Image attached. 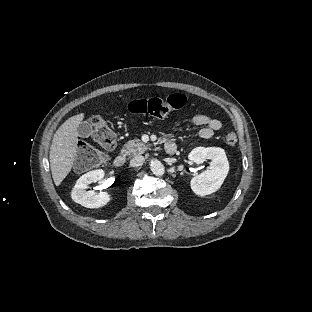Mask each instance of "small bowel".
<instances>
[{
    "instance_id": "1",
    "label": "small bowel",
    "mask_w": 312,
    "mask_h": 312,
    "mask_svg": "<svg viewBox=\"0 0 312 312\" xmlns=\"http://www.w3.org/2000/svg\"><path fill=\"white\" fill-rule=\"evenodd\" d=\"M191 124L202 126L200 136L204 139L211 138L215 132L221 130L222 123L216 118H212L203 114L193 115L190 119Z\"/></svg>"
}]
</instances>
